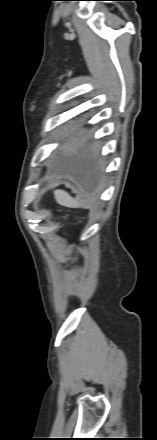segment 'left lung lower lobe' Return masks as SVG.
<instances>
[{"instance_id": "obj_1", "label": "left lung lower lobe", "mask_w": 157, "mask_h": 440, "mask_svg": "<svg viewBox=\"0 0 157 440\" xmlns=\"http://www.w3.org/2000/svg\"><path fill=\"white\" fill-rule=\"evenodd\" d=\"M72 170L81 176H85V178L89 180L95 175L96 172L94 162L86 156H82L80 159L76 160L72 165Z\"/></svg>"}]
</instances>
